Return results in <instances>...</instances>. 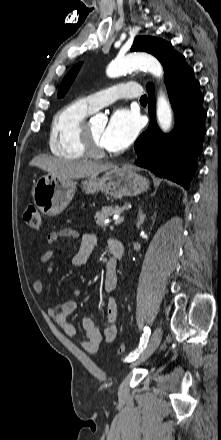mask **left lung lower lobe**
I'll return each mask as SVG.
<instances>
[{
  "mask_svg": "<svg viewBox=\"0 0 221 440\" xmlns=\"http://www.w3.org/2000/svg\"><path fill=\"white\" fill-rule=\"evenodd\" d=\"M163 67L175 114V128L168 135L160 131L155 120L153 86L148 85L151 122L134 144L138 155L136 164L187 189L197 168V157L202 151L206 132V112L202 107L204 98L199 82L193 76V69L185 63L183 55L171 52Z\"/></svg>",
  "mask_w": 221,
  "mask_h": 440,
  "instance_id": "1",
  "label": "left lung lower lobe"
}]
</instances>
